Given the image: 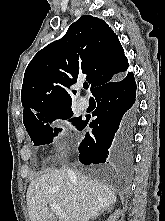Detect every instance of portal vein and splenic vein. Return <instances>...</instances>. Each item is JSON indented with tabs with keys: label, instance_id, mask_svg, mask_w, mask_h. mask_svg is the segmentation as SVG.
<instances>
[{
	"label": "portal vein and splenic vein",
	"instance_id": "portal-vein-and-splenic-vein-1",
	"mask_svg": "<svg viewBox=\"0 0 165 221\" xmlns=\"http://www.w3.org/2000/svg\"><path fill=\"white\" fill-rule=\"evenodd\" d=\"M50 208H51L52 212L60 219H63L65 221L68 219L67 214L65 212H63V210L59 206H57L56 204L51 203Z\"/></svg>",
	"mask_w": 165,
	"mask_h": 221
}]
</instances>
